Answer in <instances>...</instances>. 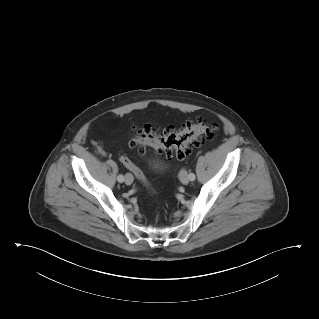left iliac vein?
Masks as SVG:
<instances>
[{
    "instance_id": "obj_1",
    "label": "left iliac vein",
    "mask_w": 319,
    "mask_h": 319,
    "mask_svg": "<svg viewBox=\"0 0 319 319\" xmlns=\"http://www.w3.org/2000/svg\"><path fill=\"white\" fill-rule=\"evenodd\" d=\"M180 181L185 185L189 183V176L185 170L180 172Z\"/></svg>"
}]
</instances>
